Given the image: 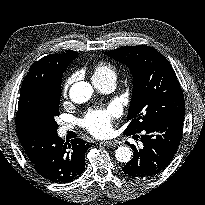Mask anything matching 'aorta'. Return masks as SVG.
Returning <instances> with one entry per match:
<instances>
[{
	"mask_svg": "<svg viewBox=\"0 0 205 205\" xmlns=\"http://www.w3.org/2000/svg\"><path fill=\"white\" fill-rule=\"evenodd\" d=\"M93 94V87L88 82H77L72 85L69 91L70 99L77 104L87 102ZM116 159L121 163H127L131 160L132 151L128 146H120L115 151Z\"/></svg>",
	"mask_w": 205,
	"mask_h": 205,
	"instance_id": "aorta-1",
	"label": "aorta"
}]
</instances>
